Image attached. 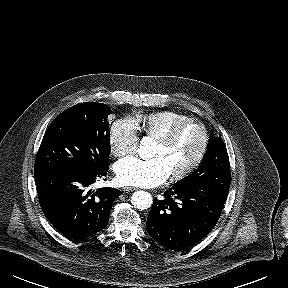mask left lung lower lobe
I'll return each mask as SVG.
<instances>
[{
  "instance_id": "obj_1",
  "label": "left lung lower lobe",
  "mask_w": 288,
  "mask_h": 288,
  "mask_svg": "<svg viewBox=\"0 0 288 288\" xmlns=\"http://www.w3.org/2000/svg\"><path fill=\"white\" fill-rule=\"evenodd\" d=\"M154 199L146 229L160 245L184 250L201 241L216 225L226 198L199 188L173 185Z\"/></svg>"
}]
</instances>
